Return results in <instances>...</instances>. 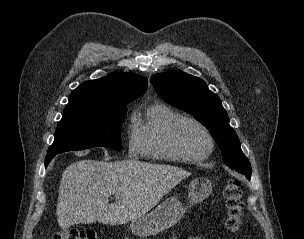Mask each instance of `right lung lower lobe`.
<instances>
[{"instance_id": "1", "label": "right lung lower lobe", "mask_w": 304, "mask_h": 239, "mask_svg": "<svg viewBox=\"0 0 304 239\" xmlns=\"http://www.w3.org/2000/svg\"><path fill=\"white\" fill-rule=\"evenodd\" d=\"M56 154H50V155H47L46 158H45V167L48 166L49 162L54 158Z\"/></svg>"}]
</instances>
